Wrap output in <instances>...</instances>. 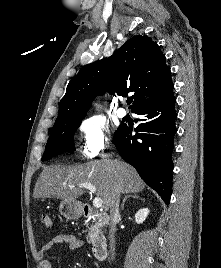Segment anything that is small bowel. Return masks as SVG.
<instances>
[{
  "mask_svg": "<svg viewBox=\"0 0 221 268\" xmlns=\"http://www.w3.org/2000/svg\"><path fill=\"white\" fill-rule=\"evenodd\" d=\"M56 245H66L71 249H79L83 247V242L70 233L61 232L53 235L37 252L38 258L40 259V268H52L51 262L45 256Z\"/></svg>",
  "mask_w": 221,
  "mask_h": 268,
  "instance_id": "c3829d8e",
  "label": "small bowel"
}]
</instances>
